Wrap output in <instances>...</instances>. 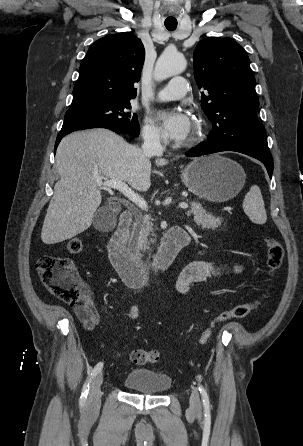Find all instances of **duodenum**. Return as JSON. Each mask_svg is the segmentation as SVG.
Segmentation results:
<instances>
[{"label":"duodenum","mask_w":303,"mask_h":446,"mask_svg":"<svg viewBox=\"0 0 303 446\" xmlns=\"http://www.w3.org/2000/svg\"><path fill=\"white\" fill-rule=\"evenodd\" d=\"M132 218L133 215L128 210L120 214L118 226L108 242L107 250L112 265L123 281L129 286L138 287L146 281L148 271L154 274L165 272L180 250L190 243L191 237L181 227L170 228L165 233L158 251L147 264L141 258L131 255L124 245V236Z\"/></svg>","instance_id":"duodenum-1"}]
</instances>
